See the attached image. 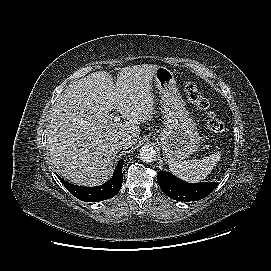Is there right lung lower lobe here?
<instances>
[{"mask_svg": "<svg viewBox=\"0 0 271 271\" xmlns=\"http://www.w3.org/2000/svg\"><path fill=\"white\" fill-rule=\"evenodd\" d=\"M123 161H119L112 178L101 186L81 187L73 185L63 180L60 176H57L66 189L76 198L86 202L102 201L114 197L119 192L123 181Z\"/></svg>", "mask_w": 271, "mask_h": 271, "instance_id": "98d812e1", "label": "right lung lower lobe"}]
</instances>
